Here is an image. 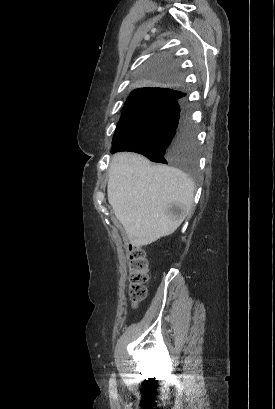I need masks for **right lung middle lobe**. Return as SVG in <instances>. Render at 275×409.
<instances>
[{
  "instance_id": "dd1d6c3e",
  "label": "right lung middle lobe",
  "mask_w": 275,
  "mask_h": 409,
  "mask_svg": "<svg viewBox=\"0 0 275 409\" xmlns=\"http://www.w3.org/2000/svg\"><path fill=\"white\" fill-rule=\"evenodd\" d=\"M167 63L165 57H151L150 65L139 73L138 90H166L133 93L128 97L111 153L136 152L153 162L179 167L190 182H199V148L190 121V108L179 101L186 94L175 89L179 79H185L187 73L176 70L175 66L181 64L179 57H172L170 64Z\"/></svg>"
}]
</instances>
